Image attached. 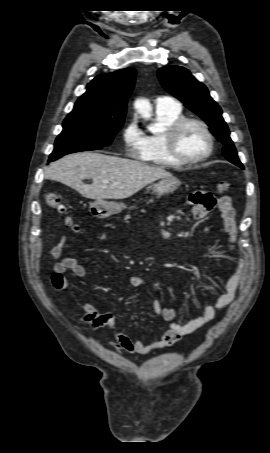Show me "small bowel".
Masks as SVG:
<instances>
[{"instance_id":"1","label":"small bowel","mask_w":270,"mask_h":453,"mask_svg":"<svg viewBox=\"0 0 270 453\" xmlns=\"http://www.w3.org/2000/svg\"><path fill=\"white\" fill-rule=\"evenodd\" d=\"M189 201L193 206V213L196 219L204 218L210 210L196 200L195 194L190 197ZM216 204L222 218L223 231L228 237L229 249L236 255V261L232 265L231 274L225 283V292L218 297L215 303L205 306L203 313L200 316L192 318L185 324L176 323L174 321L176 318V311L172 308L163 306L159 300L153 299V313L166 322H169V329L164 333L161 340L150 344H145L138 338L131 339L127 336L120 329L115 315L108 308H100L94 304L85 303L82 306L84 314L81 316L80 321L91 331L103 327L109 328L116 339V341L109 343L113 349L131 355L146 356L157 350L175 345L182 337L193 333L213 320L217 310L225 308L234 300L245 271V259L238 252L235 245L238 228L232 199L229 196H222L217 200ZM65 244L66 237H63L51 249V255L56 260L54 274H58L62 277L61 290L66 289L69 285L67 278L64 276L66 271H72L73 274L79 278L86 275L85 267L81 265L76 258L71 256L62 257ZM128 283L133 288L148 289L150 294L152 296L154 295L151 284L141 277H130Z\"/></svg>"}]
</instances>
